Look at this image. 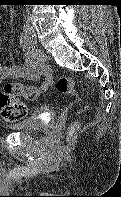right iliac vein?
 <instances>
[{
	"instance_id": "1",
	"label": "right iliac vein",
	"mask_w": 121,
	"mask_h": 197,
	"mask_svg": "<svg viewBox=\"0 0 121 197\" xmlns=\"http://www.w3.org/2000/svg\"><path fill=\"white\" fill-rule=\"evenodd\" d=\"M31 34L33 37L35 36V31L33 29H31Z\"/></svg>"
}]
</instances>
